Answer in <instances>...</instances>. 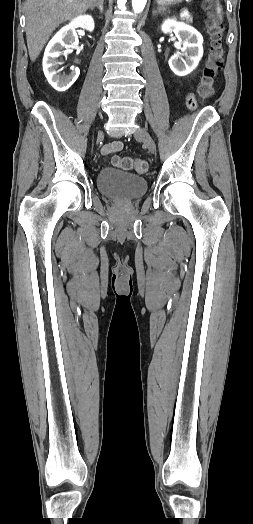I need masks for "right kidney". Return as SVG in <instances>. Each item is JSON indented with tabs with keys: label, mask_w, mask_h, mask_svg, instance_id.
<instances>
[{
	"label": "right kidney",
	"mask_w": 253,
	"mask_h": 524,
	"mask_svg": "<svg viewBox=\"0 0 253 524\" xmlns=\"http://www.w3.org/2000/svg\"><path fill=\"white\" fill-rule=\"evenodd\" d=\"M78 27L93 31V18L89 15L76 17L56 33L45 49L43 71L50 85L59 92L69 89L80 74V70L74 67L69 75H59L57 70L61 64L58 58L61 55L67 56L69 50L78 44V36L75 30ZM63 48L65 50L61 51Z\"/></svg>",
	"instance_id": "ca27d5eb"
}]
</instances>
